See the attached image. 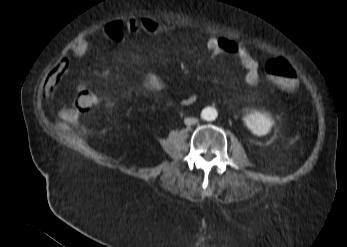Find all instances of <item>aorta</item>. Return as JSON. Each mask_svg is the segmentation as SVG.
<instances>
[{"label": "aorta", "instance_id": "1", "mask_svg": "<svg viewBox=\"0 0 347 247\" xmlns=\"http://www.w3.org/2000/svg\"><path fill=\"white\" fill-rule=\"evenodd\" d=\"M201 117H202V119H204L206 121H213L216 119L217 113H216L215 109L206 108L202 111Z\"/></svg>", "mask_w": 347, "mask_h": 247}]
</instances>
